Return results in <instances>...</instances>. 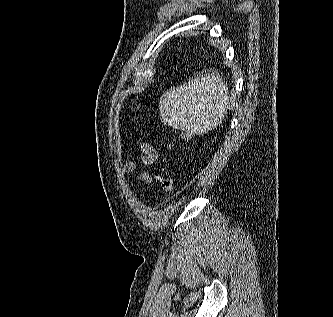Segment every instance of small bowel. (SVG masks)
<instances>
[{
	"mask_svg": "<svg viewBox=\"0 0 333 317\" xmlns=\"http://www.w3.org/2000/svg\"><path fill=\"white\" fill-rule=\"evenodd\" d=\"M139 147H140V150L142 153L141 162L145 166L152 165L156 161L157 156H158L157 151L154 148V146L150 142H141ZM135 169H136V163L133 161H129L126 163V165L124 167V172L126 174H129V173L133 172ZM138 179L142 180V181H146V182L151 181V177H150L149 173H147V172H142L138 176Z\"/></svg>",
	"mask_w": 333,
	"mask_h": 317,
	"instance_id": "small-bowel-1",
	"label": "small bowel"
}]
</instances>
